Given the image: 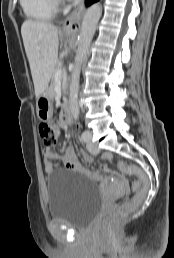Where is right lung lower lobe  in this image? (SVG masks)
<instances>
[{
  "mask_svg": "<svg viewBox=\"0 0 174 258\" xmlns=\"http://www.w3.org/2000/svg\"><path fill=\"white\" fill-rule=\"evenodd\" d=\"M86 1H87V5H90V4L94 3V2H97L98 0H86Z\"/></svg>",
  "mask_w": 174,
  "mask_h": 258,
  "instance_id": "98d812e1",
  "label": "right lung lower lobe"
}]
</instances>
